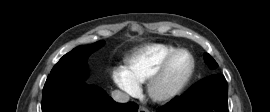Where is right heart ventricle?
Listing matches in <instances>:
<instances>
[{"mask_svg":"<svg viewBox=\"0 0 270 112\" xmlns=\"http://www.w3.org/2000/svg\"><path fill=\"white\" fill-rule=\"evenodd\" d=\"M176 47L162 43L146 44L125 58L126 70L138 85L148 81L162 60Z\"/></svg>","mask_w":270,"mask_h":112,"instance_id":"right-heart-ventricle-1","label":"right heart ventricle"}]
</instances>
